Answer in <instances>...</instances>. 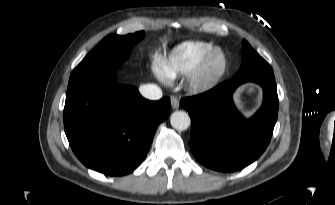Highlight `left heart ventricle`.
<instances>
[{"label": "left heart ventricle", "mask_w": 335, "mask_h": 205, "mask_svg": "<svg viewBox=\"0 0 335 205\" xmlns=\"http://www.w3.org/2000/svg\"><path fill=\"white\" fill-rule=\"evenodd\" d=\"M220 63H221L220 58L214 59V61L211 64L210 71L211 72L216 71L219 68Z\"/></svg>", "instance_id": "1"}]
</instances>
